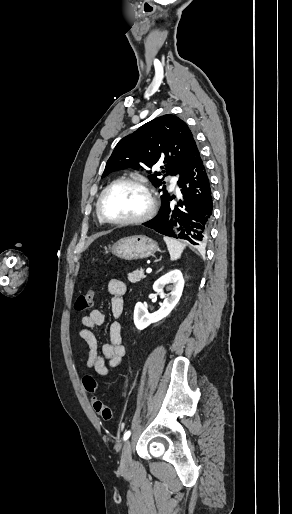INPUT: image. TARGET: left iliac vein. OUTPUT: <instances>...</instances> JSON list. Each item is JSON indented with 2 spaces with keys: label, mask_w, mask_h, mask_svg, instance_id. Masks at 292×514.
I'll list each match as a JSON object with an SVG mask.
<instances>
[{
  "label": "left iliac vein",
  "mask_w": 292,
  "mask_h": 514,
  "mask_svg": "<svg viewBox=\"0 0 292 514\" xmlns=\"http://www.w3.org/2000/svg\"><path fill=\"white\" fill-rule=\"evenodd\" d=\"M133 461H132V441L130 439L126 440L123 448H122V454H121V470L127 471L130 470L132 467Z\"/></svg>",
  "instance_id": "left-iliac-vein-1"
}]
</instances>
